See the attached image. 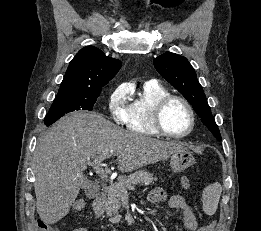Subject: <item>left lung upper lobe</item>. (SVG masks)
Wrapping results in <instances>:
<instances>
[{
  "label": "left lung upper lobe",
  "instance_id": "1",
  "mask_svg": "<svg viewBox=\"0 0 261 231\" xmlns=\"http://www.w3.org/2000/svg\"><path fill=\"white\" fill-rule=\"evenodd\" d=\"M154 66L161 76L189 101L203 124L221 140L202 86L188 60L178 54L167 52L154 59Z\"/></svg>",
  "mask_w": 261,
  "mask_h": 231
}]
</instances>
